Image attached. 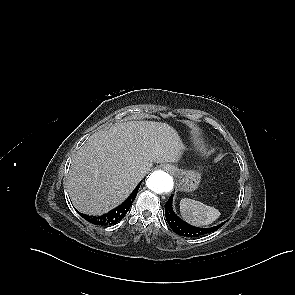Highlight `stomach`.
I'll use <instances>...</instances> for the list:
<instances>
[{
	"label": "stomach",
	"instance_id": "1",
	"mask_svg": "<svg viewBox=\"0 0 295 295\" xmlns=\"http://www.w3.org/2000/svg\"><path fill=\"white\" fill-rule=\"evenodd\" d=\"M175 175L178 178L179 190L184 192L196 190L201 181V173L194 170L175 168Z\"/></svg>",
	"mask_w": 295,
	"mask_h": 295
}]
</instances>
